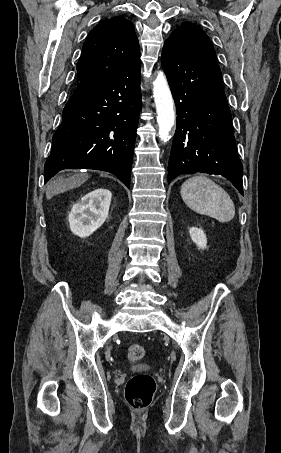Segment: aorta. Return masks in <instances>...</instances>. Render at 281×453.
<instances>
[{"label":"aorta","instance_id":"762f6f07","mask_svg":"<svg viewBox=\"0 0 281 453\" xmlns=\"http://www.w3.org/2000/svg\"><path fill=\"white\" fill-rule=\"evenodd\" d=\"M153 97L156 105L159 138L166 142L170 138L169 132L175 124L176 117L174 100L163 72H158L153 81Z\"/></svg>","mask_w":281,"mask_h":453}]
</instances>
